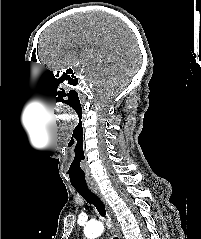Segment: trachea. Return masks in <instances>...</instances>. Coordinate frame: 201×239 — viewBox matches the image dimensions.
Wrapping results in <instances>:
<instances>
[{
  "instance_id": "1",
  "label": "trachea",
  "mask_w": 201,
  "mask_h": 239,
  "mask_svg": "<svg viewBox=\"0 0 201 239\" xmlns=\"http://www.w3.org/2000/svg\"><path fill=\"white\" fill-rule=\"evenodd\" d=\"M74 188L87 203L94 205L101 217L106 218L105 205L95 193L90 191L87 186H74ZM114 239H118V237H114Z\"/></svg>"
}]
</instances>
